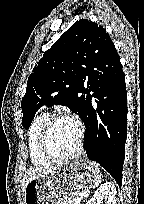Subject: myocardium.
<instances>
[{
    "label": "myocardium",
    "instance_id": "f54148a6",
    "mask_svg": "<svg viewBox=\"0 0 144 204\" xmlns=\"http://www.w3.org/2000/svg\"><path fill=\"white\" fill-rule=\"evenodd\" d=\"M59 119H70L75 122L78 128V142L75 150L72 153L68 155H63V156L54 154L51 151L48 144L50 130L53 124L55 123V121ZM84 140H85V128L82 121L79 119V117L66 112H58V113L49 115L46 122L44 123L39 137V149L41 153L44 155V157H46L51 161H56V162L68 161L80 155V153L83 150Z\"/></svg>",
    "mask_w": 144,
    "mask_h": 204
}]
</instances>
